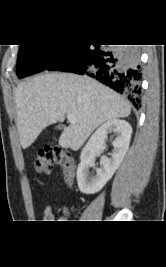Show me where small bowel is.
<instances>
[{"mask_svg": "<svg viewBox=\"0 0 166 267\" xmlns=\"http://www.w3.org/2000/svg\"><path fill=\"white\" fill-rule=\"evenodd\" d=\"M73 181L69 182V185H72ZM43 219L44 222H54L56 220V215L54 212V209L51 206H46L44 208V212H43Z\"/></svg>", "mask_w": 166, "mask_h": 267, "instance_id": "1", "label": "small bowel"}]
</instances>
